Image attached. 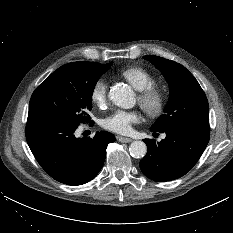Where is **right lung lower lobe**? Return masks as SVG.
I'll use <instances>...</instances> for the list:
<instances>
[{
	"label": "right lung lower lobe",
	"instance_id": "obj_1",
	"mask_svg": "<svg viewBox=\"0 0 233 233\" xmlns=\"http://www.w3.org/2000/svg\"><path fill=\"white\" fill-rule=\"evenodd\" d=\"M77 125L46 118H28L27 143L41 167L55 180L82 185L101 170L113 134L97 132L93 138L77 139Z\"/></svg>",
	"mask_w": 233,
	"mask_h": 233
}]
</instances>
